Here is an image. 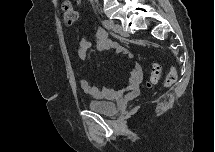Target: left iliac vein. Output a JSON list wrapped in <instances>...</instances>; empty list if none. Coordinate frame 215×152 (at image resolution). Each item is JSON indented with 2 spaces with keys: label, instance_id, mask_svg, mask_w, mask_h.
<instances>
[{
  "label": "left iliac vein",
  "instance_id": "4c4485c4",
  "mask_svg": "<svg viewBox=\"0 0 215 152\" xmlns=\"http://www.w3.org/2000/svg\"><path fill=\"white\" fill-rule=\"evenodd\" d=\"M112 30L117 34H122V28L119 24H115L112 22Z\"/></svg>",
  "mask_w": 215,
  "mask_h": 152
}]
</instances>
